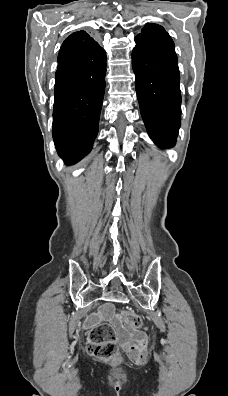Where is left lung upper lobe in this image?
I'll use <instances>...</instances> for the list:
<instances>
[{"label": "left lung upper lobe", "instance_id": "1", "mask_svg": "<svg viewBox=\"0 0 228 396\" xmlns=\"http://www.w3.org/2000/svg\"><path fill=\"white\" fill-rule=\"evenodd\" d=\"M157 26H159V25H157V24H146L144 26V28L141 30V33L150 32L152 29H154Z\"/></svg>", "mask_w": 228, "mask_h": 396}]
</instances>
